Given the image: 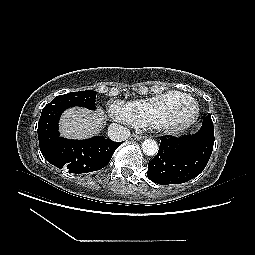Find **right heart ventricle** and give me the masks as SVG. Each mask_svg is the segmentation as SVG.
I'll return each instance as SVG.
<instances>
[{"label": "right heart ventricle", "mask_w": 255, "mask_h": 255, "mask_svg": "<svg viewBox=\"0 0 255 255\" xmlns=\"http://www.w3.org/2000/svg\"><path fill=\"white\" fill-rule=\"evenodd\" d=\"M191 98L184 92L171 90L150 98L128 102L124 104L123 121L135 127L148 126L169 103L188 101Z\"/></svg>", "instance_id": "right-heart-ventricle-1"}]
</instances>
